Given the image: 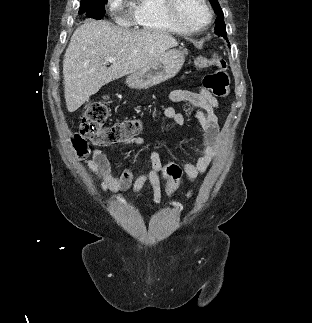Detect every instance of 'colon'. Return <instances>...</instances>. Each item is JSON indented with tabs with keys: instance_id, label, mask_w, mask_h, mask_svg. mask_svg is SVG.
Listing matches in <instances>:
<instances>
[{
	"instance_id": "1",
	"label": "colon",
	"mask_w": 312,
	"mask_h": 323,
	"mask_svg": "<svg viewBox=\"0 0 312 323\" xmlns=\"http://www.w3.org/2000/svg\"><path fill=\"white\" fill-rule=\"evenodd\" d=\"M196 68H211L212 71L203 78L204 88L216 97L225 98L230 94L229 77L225 60L218 55L199 56L194 59ZM109 97L103 96L100 101L91 103L79 120V135L81 141H72L73 158H88L87 141L95 147H108L122 141L135 138L140 134V121L136 119L119 120L108 125ZM175 160H170L163 167L169 193L180 182L179 171Z\"/></svg>"
}]
</instances>
